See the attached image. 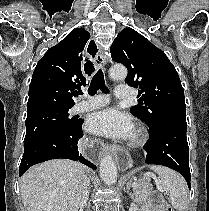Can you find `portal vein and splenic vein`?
<instances>
[{"label":"portal vein and splenic vein","instance_id":"obj_1","mask_svg":"<svg viewBox=\"0 0 209 211\" xmlns=\"http://www.w3.org/2000/svg\"><path fill=\"white\" fill-rule=\"evenodd\" d=\"M134 185H135V183H134ZM159 190H160L161 192H163V189H162L161 187L159 188Z\"/></svg>","mask_w":209,"mask_h":211}]
</instances>
